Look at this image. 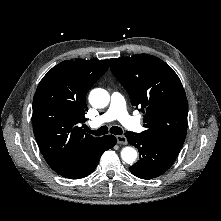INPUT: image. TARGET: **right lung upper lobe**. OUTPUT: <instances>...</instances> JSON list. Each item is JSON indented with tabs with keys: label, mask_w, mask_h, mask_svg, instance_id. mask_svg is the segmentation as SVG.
Returning a JSON list of instances; mask_svg holds the SVG:
<instances>
[{
	"label": "right lung upper lobe",
	"mask_w": 221,
	"mask_h": 221,
	"mask_svg": "<svg viewBox=\"0 0 221 221\" xmlns=\"http://www.w3.org/2000/svg\"><path fill=\"white\" fill-rule=\"evenodd\" d=\"M108 60H66L53 67L39 83L33 99V129L49 166L58 174L70 172L100 142L86 134L85 97L107 71Z\"/></svg>",
	"instance_id": "1"
}]
</instances>
